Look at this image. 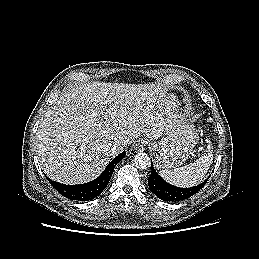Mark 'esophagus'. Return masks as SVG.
<instances>
[{"label": "esophagus", "instance_id": "obj_1", "mask_svg": "<svg viewBox=\"0 0 259 259\" xmlns=\"http://www.w3.org/2000/svg\"><path fill=\"white\" fill-rule=\"evenodd\" d=\"M147 142L144 139H138L135 143H134V149L136 151H143L146 147Z\"/></svg>", "mask_w": 259, "mask_h": 259}]
</instances>
